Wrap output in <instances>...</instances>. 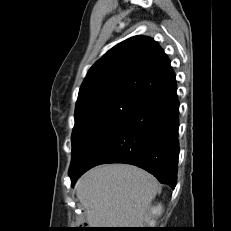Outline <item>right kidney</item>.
Wrapping results in <instances>:
<instances>
[{
	"label": "right kidney",
	"instance_id": "obj_1",
	"mask_svg": "<svg viewBox=\"0 0 231 231\" xmlns=\"http://www.w3.org/2000/svg\"><path fill=\"white\" fill-rule=\"evenodd\" d=\"M163 212V207L161 204H157L156 206H152L150 208V213H149V217L147 219V223L150 226H155L156 224V219L157 217H159Z\"/></svg>",
	"mask_w": 231,
	"mask_h": 231
}]
</instances>
